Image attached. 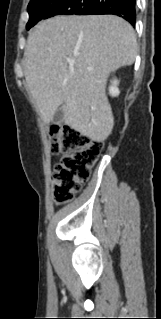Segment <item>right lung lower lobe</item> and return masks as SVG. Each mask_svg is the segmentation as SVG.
<instances>
[{
  "label": "right lung lower lobe",
  "instance_id": "obj_1",
  "mask_svg": "<svg viewBox=\"0 0 161 319\" xmlns=\"http://www.w3.org/2000/svg\"><path fill=\"white\" fill-rule=\"evenodd\" d=\"M120 16L135 25V0H89L75 15H103Z\"/></svg>",
  "mask_w": 161,
  "mask_h": 319
}]
</instances>
